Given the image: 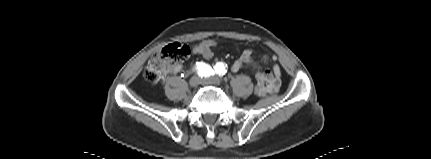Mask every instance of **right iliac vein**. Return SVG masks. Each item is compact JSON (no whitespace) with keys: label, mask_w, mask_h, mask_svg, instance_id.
<instances>
[{"label":"right iliac vein","mask_w":431,"mask_h":159,"mask_svg":"<svg viewBox=\"0 0 431 159\" xmlns=\"http://www.w3.org/2000/svg\"><path fill=\"white\" fill-rule=\"evenodd\" d=\"M200 78L198 76H193L189 80V86L190 87H196L200 84Z\"/></svg>","instance_id":"obj_1"}]
</instances>
